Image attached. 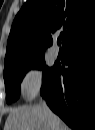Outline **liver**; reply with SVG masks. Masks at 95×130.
<instances>
[{
  "mask_svg": "<svg viewBox=\"0 0 95 130\" xmlns=\"http://www.w3.org/2000/svg\"><path fill=\"white\" fill-rule=\"evenodd\" d=\"M4 130H69L55 114H48L42 104L12 109Z\"/></svg>",
  "mask_w": 95,
  "mask_h": 130,
  "instance_id": "liver-1",
  "label": "liver"
}]
</instances>
